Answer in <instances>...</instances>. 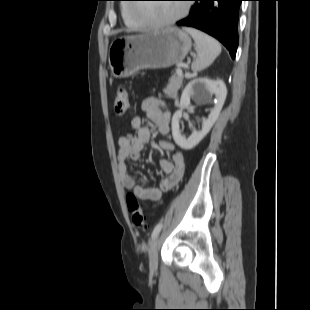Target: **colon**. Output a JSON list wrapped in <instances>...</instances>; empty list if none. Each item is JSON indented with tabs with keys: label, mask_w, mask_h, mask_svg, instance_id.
<instances>
[{
	"label": "colon",
	"mask_w": 310,
	"mask_h": 310,
	"mask_svg": "<svg viewBox=\"0 0 310 310\" xmlns=\"http://www.w3.org/2000/svg\"><path fill=\"white\" fill-rule=\"evenodd\" d=\"M129 109V94L123 87H119L116 90L113 100V112L117 116H124ZM126 203L129 214L134 225L140 229L147 227L145 222L144 212L139 204L137 196L130 192L126 196Z\"/></svg>",
	"instance_id": "1"
}]
</instances>
